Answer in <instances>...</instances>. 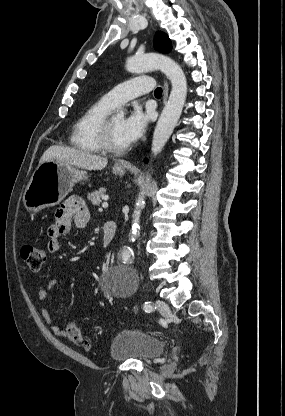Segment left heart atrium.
Here are the masks:
<instances>
[{"label":"left heart atrium","mask_w":285,"mask_h":416,"mask_svg":"<svg viewBox=\"0 0 285 416\" xmlns=\"http://www.w3.org/2000/svg\"><path fill=\"white\" fill-rule=\"evenodd\" d=\"M147 120V116L138 107H135L123 119L121 133L126 145H130L141 138L146 129Z\"/></svg>","instance_id":"1"}]
</instances>
